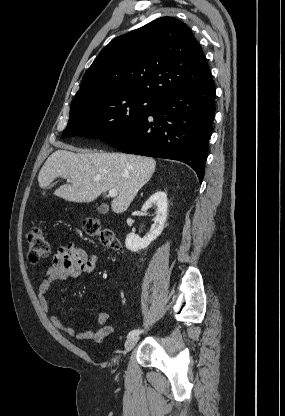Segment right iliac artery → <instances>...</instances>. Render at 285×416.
Masks as SVG:
<instances>
[{
    "label": "right iliac artery",
    "instance_id": "right-iliac-artery-1",
    "mask_svg": "<svg viewBox=\"0 0 285 416\" xmlns=\"http://www.w3.org/2000/svg\"><path fill=\"white\" fill-rule=\"evenodd\" d=\"M142 332V330L140 329H134L132 331H130L127 335V338H132V337H136L138 336L140 333Z\"/></svg>",
    "mask_w": 285,
    "mask_h": 416
}]
</instances>
